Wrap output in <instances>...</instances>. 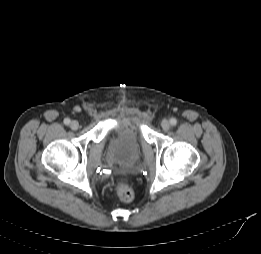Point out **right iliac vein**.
Listing matches in <instances>:
<instances>
[{
	"instance_id": "1",
	"label": "right iliac vein",
	"mask_w": 261,
	"mask_h": 254,
	"mask_svg": "<svg viewBox=\"0 0 261 254\" xmlns=\"http://www.w3.org/2000/svg\"><path fill=\"white\" fill-rule=\"evenodd\" d=\"M70 128H71L72 130H77V129L79 128V122L76 121V120L71 121V123H70Z\"/></svg>"
}]
</instances>
